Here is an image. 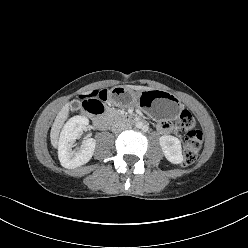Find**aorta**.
<instances>
[{"label": "aorta", "mask_w": 248, "mask_h": 248, "mask_svg": "<svg viewBox=\"0 0 248 248\" xmlns=\"http://www.w3.org/2000/svg\"><path fill=\"white\" fill-rule=\"evenodd\" d=\"M137 127H138L139 129L144 130V131H146V130L148 129L147 125H145V124H143V123H141V122H139V123L137 124Z\"/></svg>", "instance_id": "762f6f07"}]
</instances>
